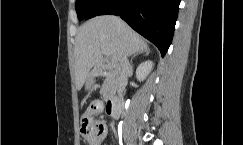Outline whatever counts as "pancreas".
Instances as JSON below:
<instances>
[{
    "label": "pancreas",
    "mask_w": 243,
    "mask_h": 145,
    "mask_svg": "<svg viewBox=\"0 0 243 145\" xmlns=\"http://www.w3.org/2000/svg\"><path fill=\"white\" fill-rule=\"evenodd\" d=\"M115 89L116 83L114 75L111 72H108L102 87L103 96L107 98L108 94L115 91Z\"/></svg>",
    "instance_id": "obj_1"
}]
</instances>
